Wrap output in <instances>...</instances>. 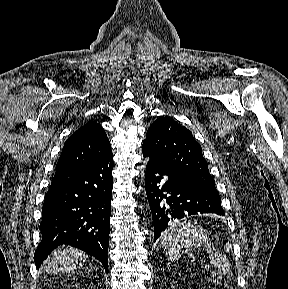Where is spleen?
<instances>
[{"label": "spleen", "instance_id": "1", "mask_svg": "<svg viewBox=\"0 0 288 289\" xmlns=\"http://www.w3.org/2000/svg\"><path fill=\"white\" fill-rule=\"evenodd\" d=\"M161 245L168 260L177 261L181 257L182 248H200L205 245L213 267L217 274L225 273L230 268L228 258L216 250L202 227L194 226L187 219L176 221L161 235ZM215 251V252H214Z\"/></svg>", "mask_w": 288, "mask_h": 289}]
</instances>
